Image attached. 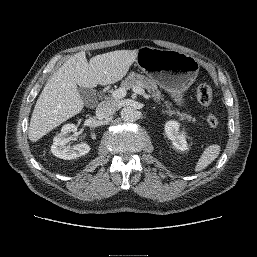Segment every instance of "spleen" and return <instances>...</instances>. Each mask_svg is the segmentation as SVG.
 <instances>
[{
    "label": "spleen",
    "mask_w": 257,
    "mask_h": 257,
    "mask_svg": "<svg viewBox=\"0 0 257 257\" xmlns=\"http://www.w3.org/2000/svg\"><path fill=\"white\" fill-rule=\"evenodd\" d=\"M220 150L221 148L217 144L206 147L195 166V172L202 171L211 164L219 156Z\"/></svg>",
    "instance_id": "3e777b00"
}]
</instances>
